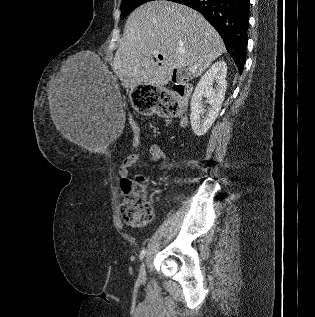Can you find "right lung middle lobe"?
I'll return each mask as SVG.
<instances>
[{
    "label": "right lung middle lobe",
    "mask_w": 315,
    "mask_h": 317,
    "mask_svg": "<svg viewBox=\"0 0 315 317\" xmlns=\"http://www.w3.org/2000/svg\"><path fill=\"white\" fill-rule=\"evenodd\" d=\"M155 0H123L121 4V16L120 19L124 18L130 11L137 8L138 6ZM168 1H175V0H168Z\"/></svg>",
    "instance_id": "right-lung-middle-lobe-1"
}]
</instances>
